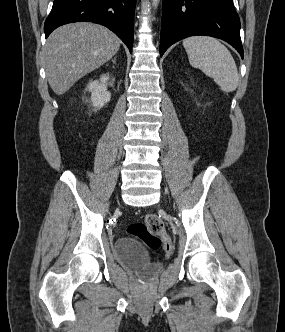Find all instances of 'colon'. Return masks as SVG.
I'll list each match as a JSON object with an SVG mask.
<instances>
[{"instance_id": "obj_1", "label": "colon", "mask_w": 285, "mask_h": 332, "mask_svg": "<svg viewBox=\"0 0 285 332\" xmlns=\"http://www.w3.org/2000/svg\"><path fill=\"white\" fill-rule=\"evenodd\" d=\"M127 232L141 240L152 250L162 248L167 255L172 253V243L165 235L164 223L155 214H148L143 222L129 225Z\"/></svg>"}]
</instances>
